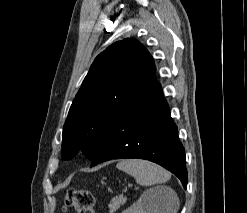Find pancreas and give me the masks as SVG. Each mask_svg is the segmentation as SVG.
Returning a JSON list of instances; mask_svg holds the SVG:
<instances>
[{
    "mask_svg": "<svg viewBox=\"0 0 247 213\" xmlns=\"http://www.w3.org/2000/svg\"><path fill=\"white\" fill-rule=\"evenodd\" d=\"M126 200H127L126 197H124L123 195H119L115 198H112L109 204L110 213H113V211L119 209L120 206L126 202Z\"/></svg>",
    "mask_w": 247,
    "mask_h": 213,
    "instance_id": "1",
    "label": "pancreas"
}]
</instances>
